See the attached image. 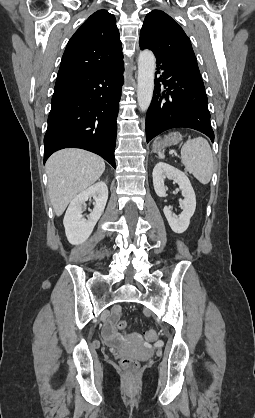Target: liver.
<instances>
[{
    "label": "liver",
    "instance_id": "6515ba94",
    "mask_svg": "<svg viewBox=\"0 0 255 418\" xmlns=\"http://www.w3.org/2000/svg\"><path fill=\"white\" fill-rule=\"evenodd\" d=\"M105 170L104 160L81 149H63L46 162L48 191L57 216L82 191L94 184Z\"/></svg>",
    "mask_w": 255,
    "mask_h": 418
}]
</instances>
